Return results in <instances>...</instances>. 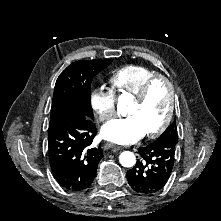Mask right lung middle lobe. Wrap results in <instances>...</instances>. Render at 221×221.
<instances>
[{
	"label": "right lung middle lobe",
	"mask_w": 221,
	"mask_h": 221,
	"mask_svg": "<svg viewBox=\"0 0 221 221\" xmlns=\"http://www.w3.org/2000/svg\"><path fill=\"white\" fill-rule=\"evenodd\" d=\"M113 60H80L69 65L58 77L52 100L51 117L72 107L93 117L90 104L93 77Z\"/></svg>",
	"instance_id": "right-lung-middle-lobe-1"
}]
</instances>
